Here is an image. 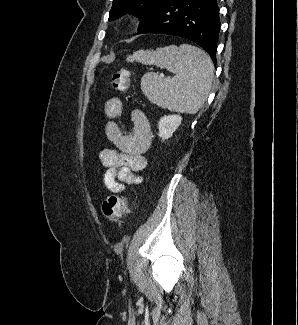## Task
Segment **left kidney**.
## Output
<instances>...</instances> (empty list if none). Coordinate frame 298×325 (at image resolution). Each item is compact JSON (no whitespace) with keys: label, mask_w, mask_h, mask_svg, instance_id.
<instances>
[{"label":"left kidney","mask_w":298,"mask_h":325,"mask_svg":"<svg viewBox=\"0 0 298 325\" xmlns=\"http://www.w3.org/2000/svg\"><path fill=\"white\" fill-rule=\"evenodd\" d=\"M181 120L182 116H180V114H164V116H161L158 122V134L161 136L162 140L172 136L173 132H175L176 128L181 124Z\"/></svg>","instance_id":"1"}]
</instances>
